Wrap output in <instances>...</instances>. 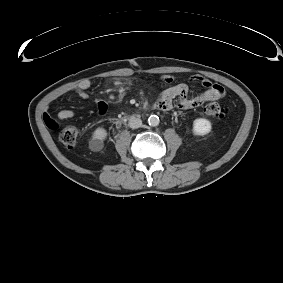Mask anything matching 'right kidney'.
I'll return each mask as SVG.
<instances>
[{"label":"right kidney","mask_w":283,"mask_h":283,"mask_svg":"<svg viewBox=\"0 0 283 283\" xmlns=\"http://www.w3.org/2000/svg\"><path fill=\"white\" fill-rule=\"evenodd\" d=\"M107 136V132L104 128L98 127L93 133V139L103 141Z\"/></svg>","instance_id":"ca27d5eb"}]
</instances>
